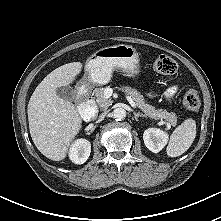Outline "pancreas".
I'll return each instance as SVG.
<instances>
[{
    "instance_id": "pancreas-1",
    "label": "pancreas",
    "mask_w": 221,
    "mask_h": 221,
    "mask_svg": "<svg viewBox=\"0 0 221 221\" xmlns=\"http://www.w3.org/2000/svg\"><path fill=\"white\" fill-rule=\"evenodd\" d=\"M106 88H96L94 90V95L96 97V102L100 108L106 110L111 104L112 101L109 98H106L104 91ZM126 93L130 95L133 99L135 105L145 113L146 116H149L154 119H165L175 126L177 124V116L175 113H170L165 109H156L155 107L149 105L144 96L136 89L125 86L122 88Z\"/></svg>"
}]
</instances>
